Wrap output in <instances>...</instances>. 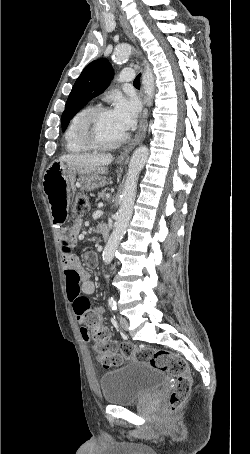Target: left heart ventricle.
<instances>
[{"mask_svg":"<svg viewBox=\"0 0 250 454\" xmlns=\"http://www.w3.org/2000/svg\"><path fill=\"white\" fill-rule=\"evenodd\" d=\"M95 137L103 143L113 142L123 135V132L116 123L112 111L101 114L93 124Z\"/></svg>","mask_w":250,"mask_h":454,"instance_id":"b2bd125f","label":"left heart ventricle"}]
</instances>
